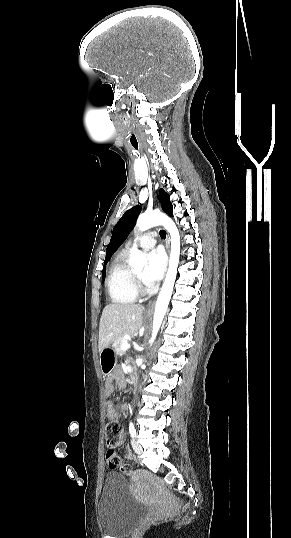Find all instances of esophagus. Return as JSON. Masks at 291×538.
Here are the masks:
<instances>
[{"label":"esophagus","instance_id":"obj_1","mask_svg":"<svg viewBox=\"0 0 291 538\" xmlns=\"http://www.w3.org/2000/svg\"><path fill=\"white\" fill-rule=\"evenodd\" d=\"M166 249H167V252L169 253L170 252V237L168 234L166 238ZM154 305H155V300L150 301L148 304V310L152 311L154 308Z\"/></svg>","mask_w":291,"mask_h":538}]
</instances>
